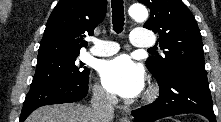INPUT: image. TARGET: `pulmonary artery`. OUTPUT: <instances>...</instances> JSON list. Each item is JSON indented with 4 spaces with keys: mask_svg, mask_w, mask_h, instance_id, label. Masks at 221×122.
Returning <instances> with one entry per match:
<instances>
[{
    "mask_svg": "<svg viewBox=\"0 0 221 122\" xmlns=\"http://www.w3.org/2000/svg\"><path fill=\"white\" fill-rule=\"evenodd\" d=\"M94 45L90 49L95 56H110L119 51V44L114 41L93 39ZM130 42L139 48H149L154 45V39L149 34L140 29H135L130 35Z\"/></svg>",
    "mask_w": 221,
    "mask_h": 122,
    "instance_id": "e3ab8cb5",
    "label": "pulmonary artery"
}]
</instances>
